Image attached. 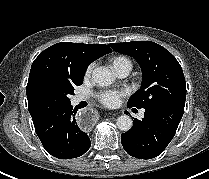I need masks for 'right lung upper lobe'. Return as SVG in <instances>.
<instances>
[{
    "mask_svg": "<svg viewBox=\"0 0 209 179\" xmlns=\"http://www.w3.org/2000/svg\"><path fill=\"white\" fill-rule=\"evenodd\" d=\"M112 52L104 44L57 43L39 54L31 66L27 84L29 112L36 123L37 117L32 103V93L35 83L43 77H53L60 80L72 81L84 76L90 63L101 56Z\"/></svg>",
    "mask_w": 209,
    "mask_h": 179,
    "instance_id": "1",
    "label": "right lung upper lobe"
}]
</instances>
